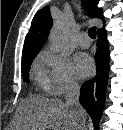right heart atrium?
<instances>
[{"label": "right heart atrium", "mask_w": 123, "mask_h": 130, "mask_svg": "<svg viewBox=\"0 0 123 130\" xmlns=\"http://www.w3.org/2000/svg\"><path fill=\"white\" fill-rule=\"evenodd\" d=\"M38 60L41 75L51 94L60 96L78 88L79 81L65 55L45 49Z\"/></svg>", "instance_id": "1"}]
</instances>
